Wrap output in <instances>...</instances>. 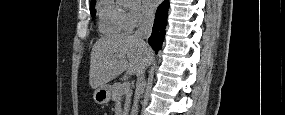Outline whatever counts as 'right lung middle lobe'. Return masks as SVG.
I'll return each mask as SVG.
<instances>
[{
  "label": "right lung middle lobe",
  "mask_w": 285,
  "mask_h": 115,
  "mask_svg": "<svg viewBox=\"0 0 285 115\" xmlns=\"http://www.w3.org/2000/svg\"><path fill=\"white\" fill-rule=\"evenodd\" d=\"M95 1L94 2H91V5H90V12H91V16L94 17L95 16Z\"/></svg>",
  "instance_id": "right-lung-middle-lobe-1"
}]
</instances>
